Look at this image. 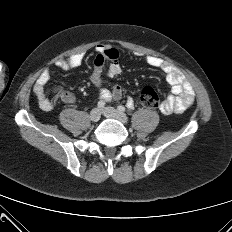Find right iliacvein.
Returning a JSON list of instances; mask_svg holds the SVG:
<instances>
[{"mask_svg":"<svg viewBox=\"0 0 232 232\" xmlns=\"http://www.w3.org/2000/svg\"><path fill=\"white\" fill-rule=\"evenodd\" d=\"M90 120L92 122H97L99 121L100 117H101V112L98 108H94L91 112H90Z\"/></svg>","mask_w":232,"mask_h":232,"instance_id":"1","label":"right iliac vein"}]
</instances>
